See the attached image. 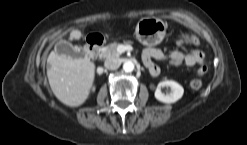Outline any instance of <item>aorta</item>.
<instances>
[{"instance_id": "aorta-1", "label": "aorta", "mask_w": 247, "mask_h": 145, "mask_svg": "<svg viewBox=\"0 0 247 145\" xmlns=\"http://www.w3.org/2000/svg\"><path fill=\"white\" fill-rule=\"evenodd\" d=\"M123 70L125 72H132L134 70V64L133 62L131 61H126L124 64H123Z\"/></svg>"}]
</instances>
